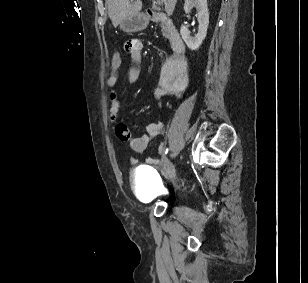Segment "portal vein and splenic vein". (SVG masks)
<instances>
[{"label":"portal vein and splenic vein","mask_w":308,"mask_h":283,"mask_svg":"<svg viewBox=\"0 0 308 283\" xmlns=\"http://www.w3.org/2000/svg\"><path fill=\"white\" fill-rule=\"evenodd\" d=\"M161 3H162L161 0L153 1V4H156V5H161Z\"/></svg>","instance_id":"obj_1"}]
</instances>
